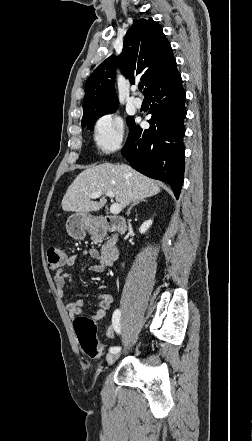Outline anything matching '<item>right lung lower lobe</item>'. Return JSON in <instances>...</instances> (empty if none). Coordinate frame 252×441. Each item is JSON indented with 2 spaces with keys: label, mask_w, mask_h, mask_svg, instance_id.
<instances>
[{
  "label": "right lung lower lobe",
  "mask_w": 252,
  "mask_h": 441,
  "mask_svg": "<svg viewBox=\"0 0 252 441\" xmlns=\"http://www.w3.org/2000/svg\"><path fill=\"white\" fill-rule=\"evenodd\" d=\"M152 102L148 121L142 130L132 124L122 154L142 174L170 184L178 198L184 179V145L186 93L174 61L163 76L145 94Z\"/></svg>",
  "instance_id": "obj_1"
}]
</instances>
